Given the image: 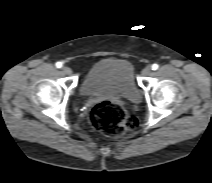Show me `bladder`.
Instances as JSON below:
<instances>
[{"instance_id": "bladder-1", "label": "bladder", "mask_w": 212, "mask_h": 183, "mask_svg": "<svg viewBox=\"0 0 212 183\" xmlns=\"http://www.w3.org/2000/svg\"><path fill=\"white\" fill-rule=\"evenodd\" d=\"M80 92L84 96L112 95L131 101L139 99L133 68L120 58H104L94 63L85 74Z\"/></svg>"}]
</instances>
